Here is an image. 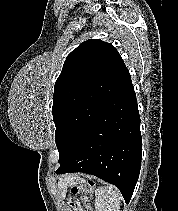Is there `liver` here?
Returning <instances> with one entry per match:
<instances>
[{
  "label": "liver",
  "mask_w": 178,
  "mask_h": 211,
  "mask_svg": "<svg viewBox=\"0 0 178 211\" xmlns=\"http://www.w3.org/2000/svg\"><path fill=\"white\" fill-rule=\"evenodd\" d=\"M73 182V177H64L63 180H61L59 182V186L60 187H63V186H66L67 184Z\"/></svg>",
  "instance_id": "6515ba94"
}]
</instances>
